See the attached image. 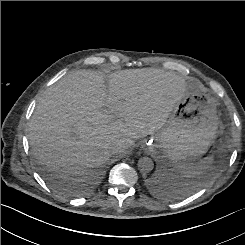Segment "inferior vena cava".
I'll return each mask as SVG.
<instances>
[{
	"instance_id": "1",
	"label": "inferior vena cava",
	"mask_w": 245,
	"mask_h": 245,
	"mask_svg": "<svg viewBox=\"0 0 245 245\" xmlns=\"http://www.w3.org/2000/svg\"><path fill=\"white\" fill-rule=\"evenodd\" d=\"M125 146L124 145H117L116 147H114L112 150L115 153H123L125 151Z\"/></svg>"
}]
</instances>
